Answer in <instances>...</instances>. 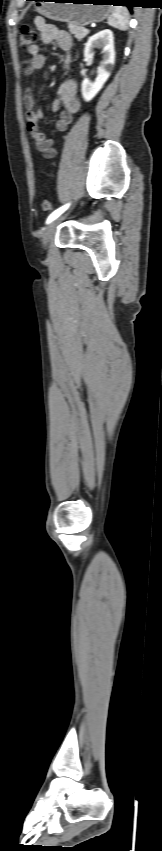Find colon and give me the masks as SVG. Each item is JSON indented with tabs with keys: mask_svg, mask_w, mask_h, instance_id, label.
<instances>
[{
	"mask_svg": "<svg viewBox=\"0 0 162 851\" xmlns=\"http://www.w3.org/2000/svg\"><path fill=\"white\" fill-rule=\"evenodd\" d=\"M37 41V32L31 26L25 25L19 31V45L23 49H29L35 45ZM41 206L44 210L51 208V201L48 198L42 200Z\"/></svg>",
	"mask_w": 162,
	"mask_h": 851,
	"instance_id": "obj_1",
	"label": "colon"
}]
</instances>
